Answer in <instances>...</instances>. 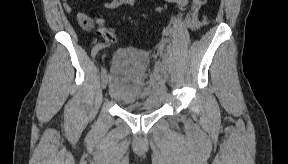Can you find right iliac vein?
Masks as SVG:
<instances>
[{"instance_id":"63e3f726","label":"right iliac vein","mask_w":288,"mask_h":164,"mask_svg":"<svg viewBox=\"0 0 288 164\" xmlns=\"http://www.w3.org/2000/svg\"><path fill=\"white\" fill-rule=\"evenodd\" d=\"M100 77H101V86L103 89H105L107 87V84H108V77H107V73L104 69L101 71Z\"/></svg>"}]
</instances>
